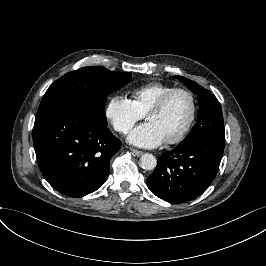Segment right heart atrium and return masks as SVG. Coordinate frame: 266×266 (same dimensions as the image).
<instances>
[{"label": "right heart atrium", "instance_id": "d8ad5b80", "mask_svg": "<svg viewBox=\"0 0 266 266\" xmlns=\"http://www.w3.org/2000/svg\"><path fill=\"white\" fill-rule=\"evenodd\" d=\"M104 114L112 127L122 134L128 133L143 117L132 100L121 95H112L107 99Z\"/></svg>", "mask_w": 266, "mask_h": 266}]
</instances>
